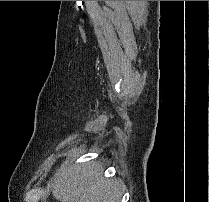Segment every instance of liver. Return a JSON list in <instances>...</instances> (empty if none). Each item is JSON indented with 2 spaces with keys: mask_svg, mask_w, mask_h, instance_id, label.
<instances>
[{
  "mask_svg": "<svg viewBox=\"0 0 209 202\" xmlns=\"http://www.w3.org/2000/svg\"><path fill=\"white\" fill-rule=\"evenodd\" d=\"M51 188L60 202H123L120 183L105 178L95 163L67 159L55 173Z\"/></svg>",
  "mask_w": 209,
  "mask_h": 202,
  "instance_id": "liver-1",
  "label": "liver"
}]
</instances>
